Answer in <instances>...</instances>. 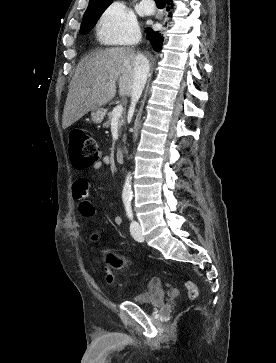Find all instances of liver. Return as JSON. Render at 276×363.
Masks as SVG:
<instances>
[{"mask_svg":"<svg viewBox=\"0 0 276 363\" xmlns=\"http://www.w3.org/2000/svg\"><path fill=\"white\" fill-rule=\"evenodd\" d=\"M132 48L115 47L95 51L84 57L75 70L64 106L62 127L71 126L81 117L111 101L116 94H132L134 63Z\"/></svg>","mask_w":276,"mask_h":363,"instance_id":"6515ba94","label":"liver"}]
</instances>
